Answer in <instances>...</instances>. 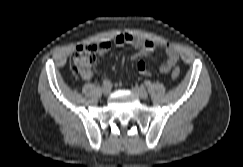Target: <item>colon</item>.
I'll list each match as a JSON object with an SVG mask.
<instances>
[{
    "instance_id": "5ec220e1",
    "label": "colon",
    "mask_w": 243,
    "mask_h": 167,
    "mask_svg": "<svg viewBox=\"0 0 243 167\" xmlns=\"http://www.w3.org/2000/svg\"><path fill=\"white\" fill-rule=\"evenodd\" d=\"M97 49L98 48L95 45H82L76 47L70 58L72 72L81 77L90 75L96 60L95 53L97 52ZM171 75L172 78L177 79L180 75L179 68L173 69Z\"/></svg>"
}]
</instances>
